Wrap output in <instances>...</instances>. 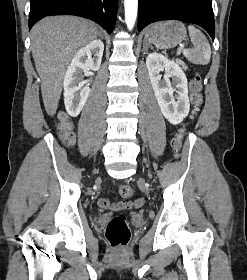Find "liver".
Wrapping results in <instances>:
<instances>
[{
	"label": "liver",
	"mask_w": 247,
	"mask_h": 280,
	"mask_svg": "<svg viewBox=\"0 0 247 280\" xmlns=\"http://www.w3.org/2000/svg\"><path fill=\"white\" fill-rule=\"evenodd\" d=\"M98 35L95 23L75 16L46 17L31 29L32 55L48 115L53 116L57 111L71 59Z\"/></svg>",
	"instance_id": "1"
}]
</instances>
